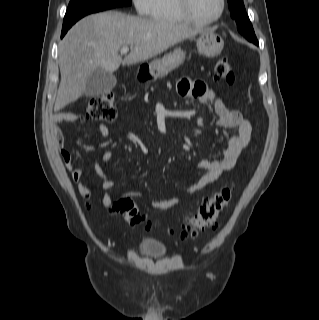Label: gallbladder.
I'll use <instances>...</instances> for the list:
<instances>
[{
	"mask_svg": "<svg viewBox=\"0 0 319 320\" xmlns=\"http://www.w3.org/2000/svg\"><path fill=\"white\" fill-rule=\"evenodd\" d=\"M116 77L103 69H97L86 79L84 95L94 97L110 92L116 85Z\"/></svg>",
	"mask_w": 319,
	"mask_h": 320,
	"instance_id": "1",
	"label": "gallbladder"
}]
</instances>
